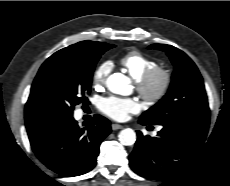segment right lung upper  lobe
I'll return each mask as SVG.
<instances>
[{"mask_svg":"<svg viewBox=\"0 0 230 186\" xmlns=\"http://www.w3.org/2000/svg\"><path fill=\"white\" fill-rule=\"evenodd\" d=\"M89 41H82L73 45H70L68 48H84L86 43ZM42 118L32 107L31 101L28 99L25 106V121L31 122Z\"/></svg>","mask_w":230,"mask_h":186,"instance_id":"right-lung-upper-lobe-1","label":"right lung upper lobe"}]
</instances>
